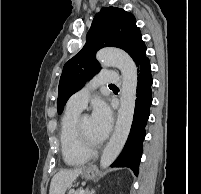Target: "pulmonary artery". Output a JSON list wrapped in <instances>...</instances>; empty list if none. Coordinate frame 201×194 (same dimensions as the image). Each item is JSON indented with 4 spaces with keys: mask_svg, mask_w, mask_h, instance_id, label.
<instances>
[{
    "mask_svg": "<svg viewBox=\"0 0 201 194\" xmlns=\"http://www.w3.org/2000/svg\"><path fill=\"white\" fill-rule=\"evenodd\" d=\"M120 76L114 71H104L95 76L87 85L73 94L67 103V106L83 110L90 97V93L99 85L118 83Z\"/></svg>",
    "mask_w": 201,
    "mask_h": 194,
    "instance_id": "obj_1",
    "label": "pulmonary artery"
}]
</instances>
